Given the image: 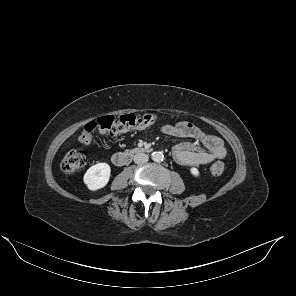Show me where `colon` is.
<instances>
[{
	"instance_id": "colon-1",
	"label": "colon",
	"mask_w": 296,
	"mask_h": 296,
	"mask_svg": "<svg viewBox=\"0 0 296 296\" xmlns=\"http://www.w3.org/2000/svg\"><path fill=\"white\" fill-rule=\"evenodd\" d=\"M158 121V116L154 114H125L118 118L114 116H102L96 121L85 125L79 139L82 143L88 144L93 140L96 133L101 135H117L135 129L148 127ZM87 154L79 149L68 151L61 163L62 170L66 173H74L83 168L87 163ZM224 164L216 162L211 165L209 171L213 176H220L224 172Z\"/></svg>"
}]
</instances>
